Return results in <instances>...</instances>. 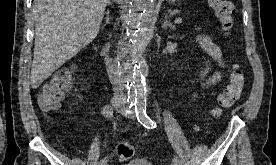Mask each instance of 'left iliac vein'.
I'll use <instances>...</instances> for the list:
<instances>
[{"label": "left iliac vein", "mask_w": 276, "mask_h": 165, "mask_svg": "<svg viewBox=\"0 0 276 165\" xmlns=\"http://www.w3.org/2000/svg\"><path fill=\"white\" fill-rule=\"evenodd\" d=\"M118 112L125 115L126 117L130 118V119H134L135 115L134 112L131 110H126L123 107L118 108Z\"/></svg>", "instance_id": "4c4485c4"}]
</instances>
